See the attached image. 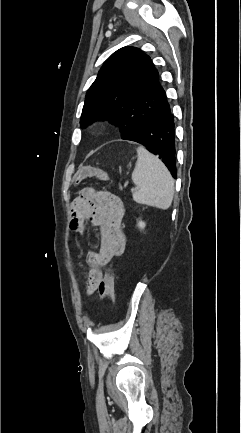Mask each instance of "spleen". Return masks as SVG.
Returning a JSON list of instances; mask_svg holds the SVG:
<instances>
[{
  "instance_id": "spleen-1",
  "label": "spleen",
  "mask_w": 241,
  "mask_h": 433,
  "mask_svg": "<svg viewBox=\"0 0 241 433\" xmlns=\"http://www.w3.org/2000/svg\"><path fill=\"white\" fill-rule=\"evenodd\" d=\"M137 154L132 181L138 190L133 193V200L139 204L167 210L174 195V180L170 172L158 157L144 147H138Z\"/></svg>"
}]
</instances>
